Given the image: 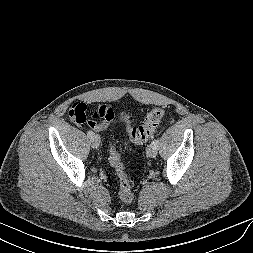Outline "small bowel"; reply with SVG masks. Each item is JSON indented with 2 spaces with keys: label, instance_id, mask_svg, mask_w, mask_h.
<instances>
[{
  "label": "small bowel",
  "instance_id": "c3829d8e",
  "mask_svg": "<svg viewBox=\"0 0 253 253\" xmlns=\"http://www.w3.org/2000/svg\"><path fill=\"white\" fill-rule=\"evenodd\" d=\"M93 118L94 119L100 118L102 119V122L97 123L95 120H92L89 126L94 131H97V132L104 131L112 124L114 120V112L110 107L106 105H102L93 112Z\"/></svg>",
  "mask_w": 253,
  "mask_h": 253
}]
</instances>
